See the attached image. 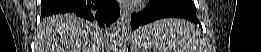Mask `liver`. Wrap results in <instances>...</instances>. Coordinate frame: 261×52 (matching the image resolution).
Segmentation results:
<instances>
[{
  "label": "liver",
  "mask_w": 261,
  "mask_h": 52,
  "mask_svg": "<svg viewBox=\"0 0 261 52\" xmlns=\"http://www.w3.org/2000/svg\"><path fill=\"white\" fill-rule=\"evenodd\" d=\"M102 45L98 25L73 14L46 17L35 38L36 52H100Z\"/></svg>",
  "instance_id": "1"
}]
</instances>
